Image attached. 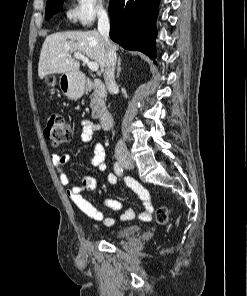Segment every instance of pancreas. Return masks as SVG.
Returning <instances> with one entry per match:
<instances>
[{
	"mask_svg": "<svg viewBox=\"0 0 247 296\" xmlns=\"http://www.w3.org/2000/svg\"><path fill=\"white\" fill-rule=\"evenodd\" d=\"M90 107L92 109V117L97 118L99 116L100 110L104 109V102L97 97L91 98Z\"/></svg>",
	"mask_w": 247,
	"mask_h": 296,
	"instance_id": "obj_1",
	"label": "pancreas"
}]
</instances>
